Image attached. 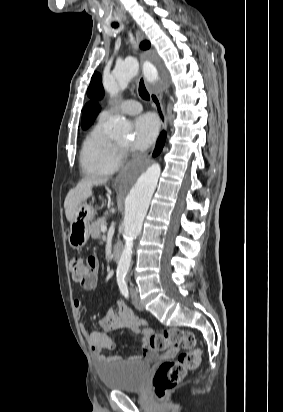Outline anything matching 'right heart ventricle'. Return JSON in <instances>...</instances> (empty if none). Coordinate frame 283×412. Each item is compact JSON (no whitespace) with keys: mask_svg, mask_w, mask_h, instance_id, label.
Returning <instances> with one entry per match:
<instances>
[{"mask_svg":"<svg viewBox=\"0 0 283 412\" xmlns=\"http://www.w3.org/2000/svg\"><path fill=\"white\" fill-rule=\"evenodd\" d=\"M79 161L86 176H109L120 168L122 157L115 142L106 136L103 121L99 120L86 136Z\"/></svg>","mask_w":283,"mask_h":412,"instance_id":"e07e8e85","label":"right heart ventricle"}]
</instances>
